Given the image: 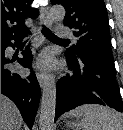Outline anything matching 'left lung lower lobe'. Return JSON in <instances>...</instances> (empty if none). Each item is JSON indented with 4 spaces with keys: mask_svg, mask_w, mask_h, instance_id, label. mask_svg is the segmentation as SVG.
I'll return each mask as SVG.
<instances>
[{
    "mask_svg": "<svg viewBox=\"0 0 123 130\" xmlns=\"http://www.w3.org/2000/svg\"><path fill=\"white\" fill-rule=\"evenodd\" d=\"M65 56L74 75L62 77L57 83L55 121L83 104L107 105L123 112L114 64L88 56Z\"/></svg>",
    "mask_w": 123,
    "mask_h": 130,
    "instance_id": "obj_1",
    "label": "left lung lower lobe"
}]
</instances>
